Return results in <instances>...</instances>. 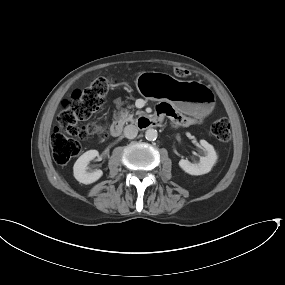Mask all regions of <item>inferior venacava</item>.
<instances>
[{
	"mask_svg": "<svg viewBox=\"0 0 285 285\" xmlns=\"http://www.w3.org/2000/svg\"><path fill=\"white\" fill-rule=\"evenodd\" d=\"M138 134V128L135 125H127L124 128V136L128 139H133L137 136Z\"/></svg>",
	"mask_w": 285,
	"mask_h": 285,
	"instance_id": "602c4592",
	"label": "inferior vena cava"
}]
</instances>
